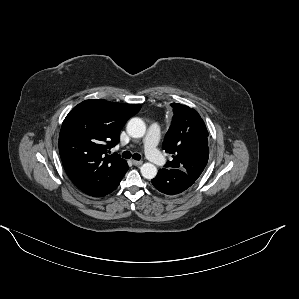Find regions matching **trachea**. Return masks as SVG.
I'll list each match as a JSON object with an SVG mask.
<instances>
[{"label":"trachea","mask_w":299,"mask_h":299,"mask_svg":"<svg viewBox=\"0 0 299 299\" xmlns=\"http://www.w3.org/2000/svg\"><path fill=\"white\" fill-rule=\"evenodd\" d=\"M122 157H123V158H126V159L132 157V158L135 159V160H140V159H141V155H140V154H138V153L131 154V152H129V151H124V152L122 153Z\"/></svg>","instance_id":"trachea-1"}]
</instances>
